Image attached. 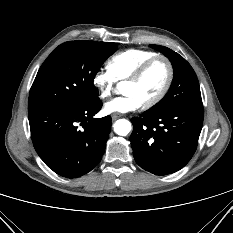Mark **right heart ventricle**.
Here are the masks:
<instances>
[{
	"instance_id": "obj_1",
	"label": "right heart ventricle",
	"mask_w": 233,
	"mask_h": 233,
	"mask_svg": "<svg viewBox=\"0 0 233 233\" xmlns=\"http://www.w3.org/2000/svg\"><path fill=\"white\" fill-rule=\"evenodd\" d=\"M157 55L156 52L144 49H128L114 55L108 62V70L118 81L129 78L147 59Z\"/></svg>"
}]
</instances>
